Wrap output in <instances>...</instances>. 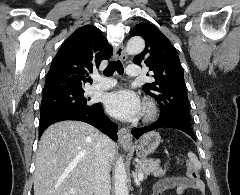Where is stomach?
<instances>
[{"label":"stomach","instance_id":"stomach-1","mask_svg":"<svg viewBox=\"0 0 240 195\" xmlns=\"http://www.w3.org/2000/svg\"><path fill=\"white\" fill-rule=\"evenodd\" d=\"M160 141L161 135L158 131H147V133L141 135L140 139L135 141L134 145H124V147L135 151L137 157L147 159L148 155L157 149Z\"/></svg>","mask_w":240,"mask_h":195}]
</instances>
